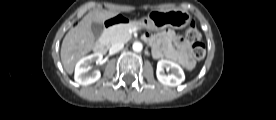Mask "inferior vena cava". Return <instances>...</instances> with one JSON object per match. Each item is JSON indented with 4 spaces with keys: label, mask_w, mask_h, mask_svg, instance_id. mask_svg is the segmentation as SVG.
Instances as JSON below:
<instances>
[{
    "label": "inferior vena cava",
    "mask_w": 276,
    "mask_h": 120,
    "mask_svg": "<svg viewBox=\"0 0 276 120\" xmlns=\"http://www.w3.org/2000/svg\"><path fill=\"white\" fill-rule=\"evenodd\" d=\"M123 47H124V43H122V42L115 43V44H113V45L110 47V52H111L112 54L117 53V52H119L121 49H123Z\"/></svg>",
    "instance_id": "1"
}]
</instances>
